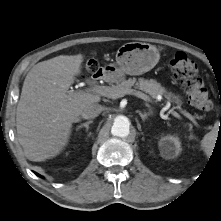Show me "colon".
I'll use <instances>...</instances> for the list:
<instances>
[{"instance_id": "1", "label": "colon", "mask_w": 221, "mask_h": 221, "mask_svg": "<svg viewBox=\"0 0 221 221\" xmlns=\"http://www.w3.org/2000/svg\"><path fill=\"white\" fill-rule=\"evenodd\" d=\"M99 64L94 58L85 62V70L88 74L98 71ZM171 69L180 80L183 91L187 94L190 103L202 111H210L213 108L212 100L198 75L196 63L185 53L178 52L171 60Z\"/></svg>"}]
</instances>
